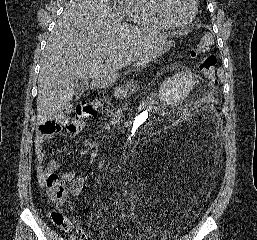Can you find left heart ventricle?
<instances>
[{
    "instance_id": "left-heart-ventricle-1",
    "label": "left heart ventricle",
    "mask_w": 257,
    "mask_h": 240,
    "mask_svg": "<svg viewBox=\"0 0 257 240\" xmlns=\"http://www.w3.org/2000/svg\"><path fill=\"white\" fill-rule=\"evenodd\" d=\"M163 10L174 23H184L191 15L190 0H163Z\"/></svg>"
}]
</instances>
